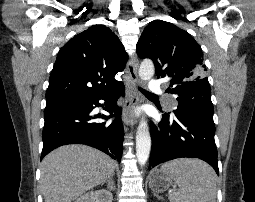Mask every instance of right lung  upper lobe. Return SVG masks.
<instances>
[{
  "mask_svg": "<svg viewBox=\"0 0 255 202\" xmlns=\"http://www.w3.org/2000/svg\"><path fill=\"white\" fill-rule=\"evenodd\" d=\"M128 55L118 37L104 25L75 35L59 51L49 79L46 107L92 97L121 84Z\"/></svg>",
  "mask_w": 255,
  "mask_h": 202,
  "instance_id": "cb5924a9",
  "label": "right lung upper lobe"
}]
</instances>
